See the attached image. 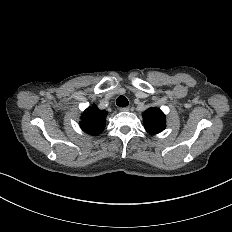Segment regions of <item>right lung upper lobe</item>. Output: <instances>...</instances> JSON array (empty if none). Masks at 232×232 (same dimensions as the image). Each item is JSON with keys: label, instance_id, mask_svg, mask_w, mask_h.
Returning <instances> with one entry per match:
<instances>
[{"label": "right lung upper lobe", "instance_id": "1", "mask_svg": "<svg viewBox=\"0 0 232 232\" xmlns=\"http://www.w3.org/2000/svg\"><path fill=\"white\" fill-rule=\"evenodd\" d=\"M106 114V111L100 110L93 104L82 113L80 127L87 134L99 135L105 128Z\"/></svg>", "mask_w": 232, "mask_h": 232}]
</instances>
